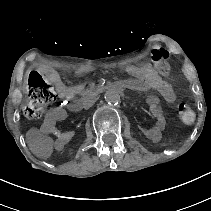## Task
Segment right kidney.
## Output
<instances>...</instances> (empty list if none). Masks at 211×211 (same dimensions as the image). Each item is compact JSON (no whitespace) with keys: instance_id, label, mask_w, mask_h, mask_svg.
<instances>
[{"instance_id":"1","label":"right kidney","mask_w":211,"mask_h":211,"mask_svg":"<svg viewBox=\"0 0 211 211\" xmlns=\"http://www.w3.org/2000/svg\"><path fill=\"white\" fill-rule=\"evenodd\" d=\"M66 118V110L63 107L51 109L46 113L44 124L64 143H71L74 140V135L68 132L59 123Z\"/></svg>"}]
</instances>
